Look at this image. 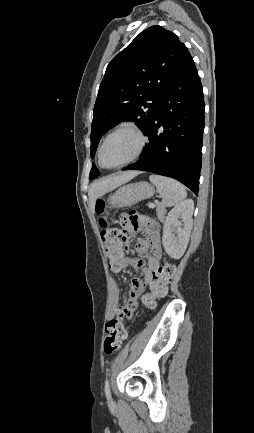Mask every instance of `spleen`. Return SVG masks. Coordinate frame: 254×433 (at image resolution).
Segmentation results:
<instances>
[{
	"label": "spleen",
	"mask_w": 254,
	"mask_h": 433,
	"mask_svg": "<svg viewBox=\"0 0 254 433\" xmlns=\"http://www.w3.org/2000/svg\"><path fill=\"white\" fill-rule=\"evenodd\" d=\"M149 179L162 197L164 207L176 205L187 197L185 187L174 179L160 175H150Z\"/></svg>",
	"instance_id": "1"
}]
</instances>
